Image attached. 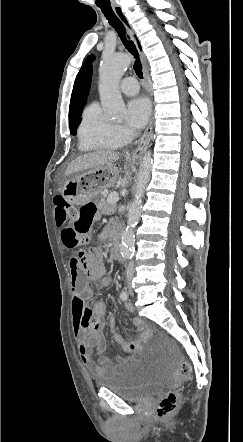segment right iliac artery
Segmentation results:
<instances>
[{"label":"right iliac artery","instance_id":"obj_1","mask_svg":"<svg viewBox=\"0 0 243 442\" xmlns=\"http://www.w3.org/2000/svg\"><path fill=\"white\" fill-rule=\"evenodd\" d=\"M120 298H121V300L126 301L128 299L127 291H122L120 294Z\"/></svg>","mask_w":243,"mask_h":442}]
</instances>
